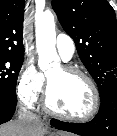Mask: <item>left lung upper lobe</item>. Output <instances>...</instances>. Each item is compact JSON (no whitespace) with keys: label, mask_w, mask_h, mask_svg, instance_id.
I'll list each match as a JSON object with an SVG mask.
<instances>
[{"label":"left lung upper lobe","mask_w":117,"mask_h":136,"mask_svg":"<svg viewBox=\"0 0 117 136\" xmlns=\"http://www.w3.org/2000/svg\"><path fill=\"white\" fill-rule=\"evenodd\" d=\"M58 19L104 98L117 88V21L107 0H52Z\"/></svg>","instance_id":"obj_1"}]
</instances>
